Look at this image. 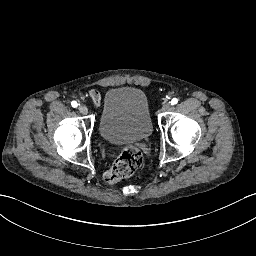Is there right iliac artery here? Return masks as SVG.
Segmentation results:
<instances>
[{
	"label": "right iliac artery",
	"instance_id": "82829eb1",
	"mask_svg": "<svg viewBox=\"0 0 256 256\" xmlns=\"http://www.w3.org/2000/svg\"><path fill=\"white\" fill-rule=\"evenodd\" d=\"M72 107L76 108L78 106V103L76 101L71 102Z\"/></svg>",
	"mask_w": 256,
	"mask_h": 256
}]
</instances>
